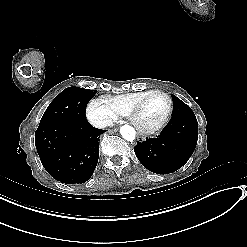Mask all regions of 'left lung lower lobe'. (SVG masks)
Wrapping results in <instances>:
<instances>
[{"mask_svg":"<svg viewBox=\"0 0 247 247\" xmlns=\"http://www.w3.org/2000/svg\"><path fill=\"white\" fill-rule=\"evenodd\" d=\"M198 139L194 113L173 116L156 138L137 142L135 154L141 164L156 174L172 173L191 157Z\"/></svg>","mask_w":247,"mask_h":247,"instance_id":"left-lung-lower-lobe-1","label":"left lung lower lobe"}]
</instances>
